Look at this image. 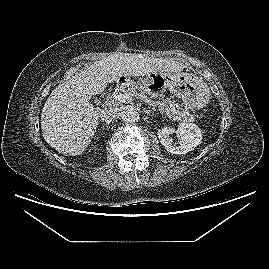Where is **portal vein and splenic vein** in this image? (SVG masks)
Segmentation results:
<instances>
[{
  "mask_svg": "<svg viewBox=\"0 0 269 269\" xmlns=\"http://www.w3.org/2000/svg\"><path fill=\"white\" fill-rule=\"evenodd\" d=\"M112 98L114 101H119V102L127 104V103H130L132 101L133 96H131L127 93H124V94L117 93V94H114ZM145 102L151 103V101H149V100H145Z\"/></svg>",
  "mask_w": 269,
  "mask_h": 269,
  "instance_id": "obj_1",
  "label": "portal vein and splenic vein"
}]
</instances>
